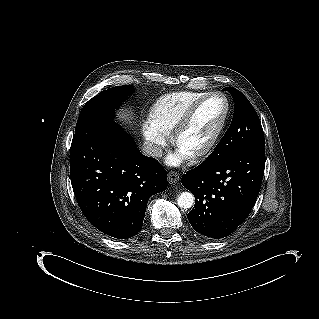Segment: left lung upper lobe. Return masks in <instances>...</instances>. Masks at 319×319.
Masks as SVG:
<instances>
[{
    "label": "left lung upper lobe",
    "mask_w": 319,
    "mask_h": 319,
    "mask_svg": "<svg viewBox=\"0 0 319 319\" xmlns=\"http://www.w3.org/2000/svg\"><path fill=\"white\" fill-rule=\"evenodd\" d=\"M234 99L232 122L207 162L216 163L235 153L264 147V133L259 117L249 100L237 89L225 87Z\"/></svg>",
    "instance_id": "5c2ea615"
}]
</instances>
